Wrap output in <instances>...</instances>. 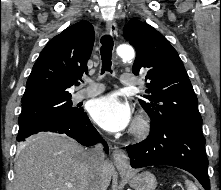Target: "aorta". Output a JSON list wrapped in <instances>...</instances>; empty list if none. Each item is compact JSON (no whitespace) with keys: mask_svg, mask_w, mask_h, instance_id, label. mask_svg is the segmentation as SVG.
<instances>
[{"mask_svg":"<svg viewBox=\"0 0 221 190\" xmlns=\"http://www.w3.org/2000/svg\"><path fill=\"white\" fill-rule=\"evenodd\" d=\"M117 55L124 61L132 60L135 56L134 49L130 45H120L117 47Z\"/></svg>","mask_w":221,"mask_h":190,"instance_id":"obj_1","label":"aorta"}]
</instances>
